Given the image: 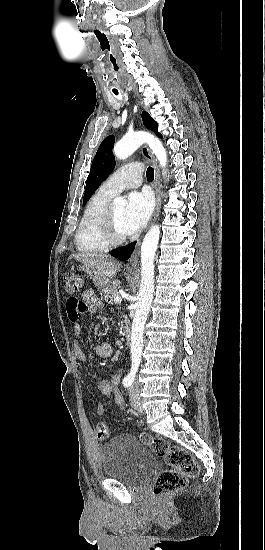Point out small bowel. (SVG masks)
I'll return each mask as SVG.
<instances>
[{
  "instance_id": "1",
  "label": "small bowel",
  "mask_w": 265,
  "mask_h": 550,
  "mask_svg": "<svg viewBox=\"0 0 265 550\" xmlns=\"http://www.w3.org/2000/svg\"><path fill=\"white\" fill-rule=\"evenodd\" d=\"M74 299H70L68 303L73 301ZM82 302L84 304V307L81 311L82 312H95L98 307L100 306V302L98 300L97 295L92 289L86 290L82 295ZM67 312L70 315L74 314L75 310L67 304ZM82 332V327L80 324L76 323L73 327V351L76 358L81 362H87V357L84 354L79 342L78 338L80 337ZM113 350L109 343H97L94 346V354L98 358H109L112 356ZM120 381V370L115 371L112 373L107 379H103L97 382L96 388L106 397H112V401L120 408V410H123L124 407V399L120 391L118 390V384ZM96 411L98 415H105L106 411L102 404L98 403L96 406Z\"/></svg>"
}]
</instances>
